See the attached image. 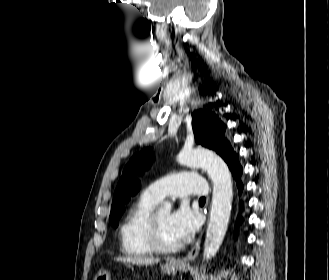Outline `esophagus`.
Wrapping results in <instances>:
<instances>
[{
  "label": "esophagus",
  "instance_id": "34e87169",
  "mask_svg": "<svg viewBox=\"0 0 329 280\" xmlns=\"http://www.w3.org/2000/svg\"><path fill=\"white\" fill-rule=\"evenodd\" d=\"M200 244H201V238L198 239V241L195 243V245L192 247V249L188 252L186 256L175 260L174 263L185 264L186 262L194 260L199 253Z\"/></svg>",
  "mask_w": 329,
  "mask_h": 280
}]
</instances>
